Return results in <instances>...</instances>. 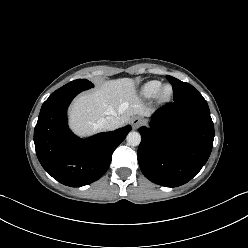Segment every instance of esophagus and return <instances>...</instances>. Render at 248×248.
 Masks as SVG:
<instances>
[{
  "label": "esophagus",
  "instance_id": "34e87169",
  "mask_svg": "<svg viewBox=\"0 0 248 248\" xmlns=\"http://www.w3.org/2000/svg\"><path fill=\"white\" fill-rule=\"evenodd\" d=\"M142 123V119L140 117H134L131 121L133 128H137Z\"/></svg>",
  "mask_w": 248,
  "mask_h": 248
}]
</instances>
